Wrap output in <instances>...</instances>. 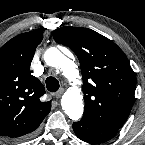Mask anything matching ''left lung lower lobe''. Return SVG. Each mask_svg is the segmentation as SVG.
<instances>
[{"label": "left lung lower lobe", "mask_w": 145, "mask_h": 145, "mask_svg": "<svg viewBox=\"0 0 145 145\" xmlns=\"http://www.w3.org/2000/svg\"><path fill=\"white\" fill-rule=\"evenodd\" d=\"M73 130L79 139L91 144L104 143L113 138L118 132L117 129L96 125L85 118L73 123Z\"/></svg>", "instance_id": "0a47b994"}]
</instances>
